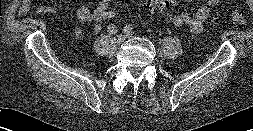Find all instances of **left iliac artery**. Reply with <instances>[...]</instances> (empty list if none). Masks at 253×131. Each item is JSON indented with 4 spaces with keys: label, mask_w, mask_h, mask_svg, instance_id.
Listing matches in <instances>:
<instances>
[{
    "label": "left iliac artery",
    "mask_w": 253,
    "mask_h": 131,
    "mask_svg": "<svg viewBox=\"0 0 253 131\" xmlns=\"http://www.w3.org/2000/svg\"><path fill=\"white\" fill-rule=\"evenodd\" d=\"M123 31L126 33V34H129V33H132L133 32V27L131 25H126L123 29Z\"/></svg>",
    "instance_id": "obj_1"
}]
</instances>
